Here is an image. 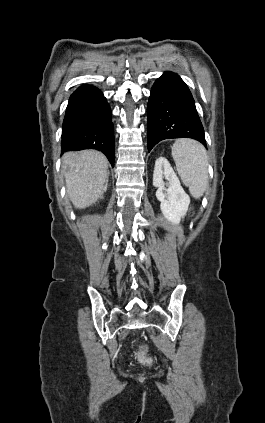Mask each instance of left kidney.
<instances>
[{
	"mask_svg": "<svg viewBox=\"0 0 265 423\" xmlns=\"http://www.w3.org/2000/svg\"><path fill=\"white\" fill-rule=\"evenodd\" d=\"M164 178L167 181L166 184ZM153 185L158 188L156 197L161 202L160 209L164 217L172 224H179L188 210L190 197L185 193L177 175L165 157H159L155 161Z\"/></svg>",
	"mask_w": 265,
	"mask_h": 423,
	"instance_id": "left-kidney-1",
	"label": "left kidney"
}]
</instances>
